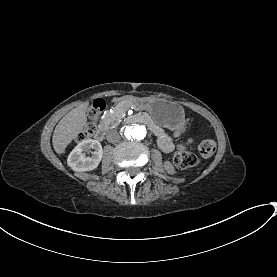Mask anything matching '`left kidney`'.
I'll use <instances>...</instances> for the list:
<instances>
[{
  "label": "left kidney",
  "mask_w": 277,
  "mask_h": 277,
  "mask_svg": "<svg viewBox=\"0 0 277 277\" xmlns=\"http://www.w3.org/2000/svg\"><path fill=\"white\" fill-rule=\"evenodd\" d=\"M164 169L168 174H175V169L169 161L164 162Z\"/></svg>",
  "instance_id": "1"
}]
</instances>
